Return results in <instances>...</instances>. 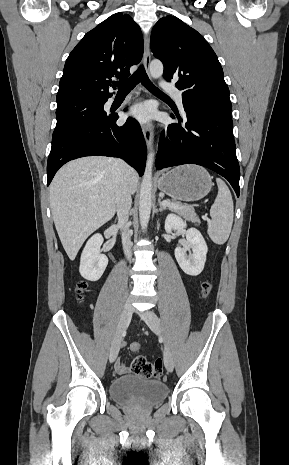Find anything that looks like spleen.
Wrapping results in <instances>:
<instances>
[{"instance_id": "1", "label": "spleen", "mask_w": 289, "mask_h": 465, "mask_svg": "<svg viewBox=\"0 0 289 465\" xmlns=\"http://www.w3.org/2000/svg\"><path fill=\"white\" fill-rule=\"evenodd\" d=\"M218 185V195L210 208L211 221L208 223L207 233L211 240L218 244H224L230 235L234 207L229 188L225 182L216 179Z\"/></svg>"}]
</instances>
